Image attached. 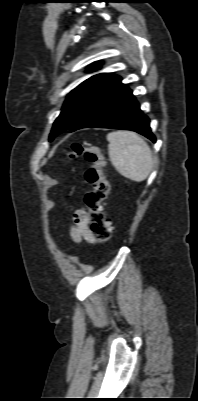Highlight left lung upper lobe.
<instances>
[{
	"mask_svg": "<svg viewBox=\"0 0 198 401\" xmlns=\"http://www.w3.org/2000/svg\"><path fill=\"white\" fill-rule=\"evenodd\" d=\"M98 68H100L99 62L89 66L90 70ZM114 77L115 75L110 73L97 74L72 90L63 105L60 115L53 124L49 141H52L58 134L69 130L90 102L100 94Z\"/></svg>",
	"mask_w": 198,
	"mask_h": 401,
	"instance_id": "left-lung-upper-lobe-1",
	"label": "left lung upper lobe"
}]
</instances>
